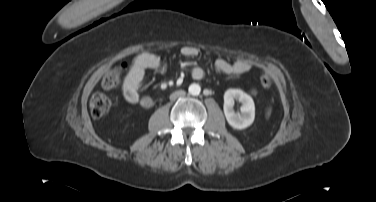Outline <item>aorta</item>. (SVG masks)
<instances>
[{
  "instance_id": "1",
  "label": "aorta",
  "mask_w": 376,
  "mask_h": 202,
  "mask_svg": "<svg viewBox=\"0 0 376 202\" xmlns=\"http://www.w3.org/2000/svg\"><path fill=\"white\" fill-rule=\"evenodd\" d=\"M201 91V88L198 84L196 83H193L189 86L188 88V92L191 94V95H198Z\"/></svg>"
}]
</instances>
